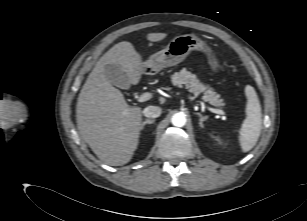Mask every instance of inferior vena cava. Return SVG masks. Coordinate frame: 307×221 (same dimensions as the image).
I'll list each match as a JSON object with an SVG mask.
<instances>
[{"label":"inferior vena cava","mask_w":307,"mask_h":221,"mask_svg":"<svg viewBox=\"0 0 307 221\" xmlns=\"http://www.w3.org/2000/svg\"><path fill=\"white\" fill-rule=\"evenodd\" d=\"M162 109L158 106H147L143 110V114L148 118H157L161 115Z\"/></svg>","instance_id":"inferior-vena-cava-1"}]
</instances>
